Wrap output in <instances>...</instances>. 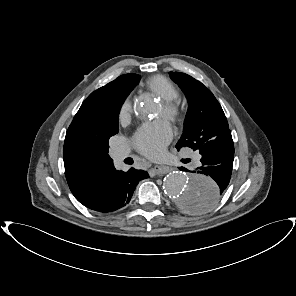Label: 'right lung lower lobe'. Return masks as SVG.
I'll list each match as a JSON object with an SVG mask.
<instances>
[{"mask_svg":"<svg viewBox=\"0 0 296 296\" xmlns=\"http://www.w3.org/2000/svg\"><path fill=\"white\" fill-rule=\"evenodd\" d=\"M149 178L146 171L130 168L127 172L113 170L103 176L77 200L87 208L108 213L116 211L131 200L140 180Z\"/></svg>","mask_w":296,"mask_h":296,"instance_id":"98d812e1","label":"right lung lower lobe"}]
</instances>
